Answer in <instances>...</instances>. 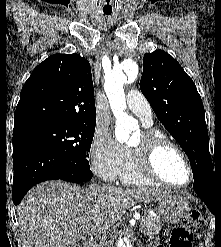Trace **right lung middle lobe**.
I'll list each match as a JSON object with an SVG mask.
<instances>
[{"label":"right lung middle lobe","instance_id":"1","mask_svg":"<svg viewBox=\"0 0 221 247\" xmlns=\"http://www.w3.org/2000/svg\"><path fill=\"white\" fill-rule=\"evenodd\" d=\"M96 123L49 122L14 129L13 138L39 142L69 161L90 169L89 152Z\"/></svg>","mask_w":221,"mask_h":247}]
</instances>
